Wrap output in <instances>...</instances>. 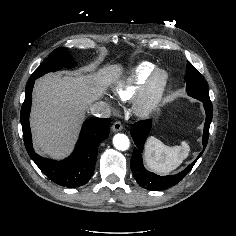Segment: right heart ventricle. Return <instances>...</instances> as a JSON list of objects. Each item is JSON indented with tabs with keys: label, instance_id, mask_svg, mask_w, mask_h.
I'll list each match as a JSON object with an SVG mask.
<instances>
[{
	"label": "right heart ventricle",
	"instance_id": "e07e8e85",
	"mask_svg": "<svg viewBox=\"0 0 236 236\" xmlns=\"http://www.w3.org/2000/svg\"><path fill=\"white\" fill-rule=\"evenodd\" d=\"M155 69L156 65L151 62L138 64L132 69L129 76L115 87L114 93L116 97L121 101L134 99Z\"/></svg>",
	"mask_w": 236,
	"mask_h": 236
}]
</instances>
